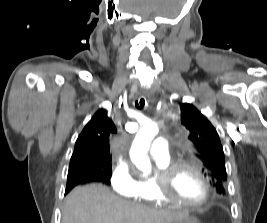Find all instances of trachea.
I'll return each mask as SVG.
<instances>
[{"instance_id": "obj_1", "label": "trachea", "mask_w": 267, "mask_h": 223, "mask_svg": "<svg viewBox=\"0 0 267 223\" xmlns=\"http://www.w3.org/2000/svg\"><path fill=\"white\" fill-rule=\"evenodd\" d=\"M135 105H136L137 108L144 107L145 106V99L141 98L139 102L138 101L135 102Z\"/></svg>"}]
</instances>
